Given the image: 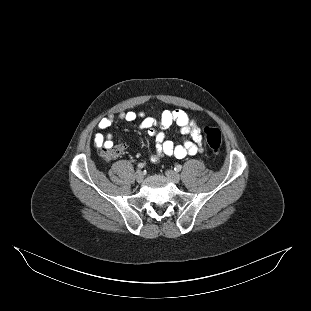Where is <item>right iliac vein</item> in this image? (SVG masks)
Masks as SVG:
<instances>
[{
	"mask_svg": "<svg viewBox=\"0 0 311 311\" xmlns=\"http://www.w3.org/2000/svg\"><path fill=\"white\" fill-rule=\"evenodd\" d=\"M135 179L137 182L141 183L144 179V175L142 173L141 170H138L136 173H135Z\"/></svg>",
	"mask_w": 311,
	"mask_h": 311,
	"instance_id": "right-iliac-vein-1",
	"label": "right iliac vein"
}]
</instances>
